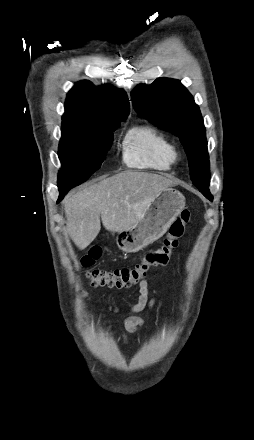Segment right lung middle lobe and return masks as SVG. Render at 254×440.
<instances>
[{
	"mask_svg": "<svg viewBox=\"0 0 254 440\" xmlns=\"http://www.w3.org/2000/svg\"><path fill=\"white\" fill-rule=\"evenodd\" d=\"M120 124L88 126L62 122L58 151L62 163L58 175L59 188L71 189L86 181L100 168L111 147L113 132Z\"/></svg>",
	"mask_w": 254,
	"mask_h": 440,
	"instance_id": "1",
	"label": "right lung middle lobe"
}]
</instances>
